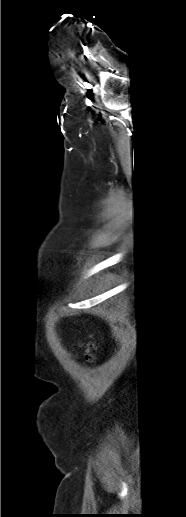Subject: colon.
I'll list each match as a JSON object with an SVG mask.
<instances>
[{
  "instance_id": "5ec220e1",
  "label": "colon",
  "mask_w": 186,
  "mask_h": 517,
  "mask_svg": "<svg viewBox=\"0 0 186 517\" xmlns=\"http://www.w3.org/2000/svg\"><path fill=\"white\" fill-rule=\"evenodd\" d=\"M93 347L92 344H89L87 347V355L85 357L86 361L91 362L93 360V357L89 354V350Z\"/></svg>"
}]
</instances>
